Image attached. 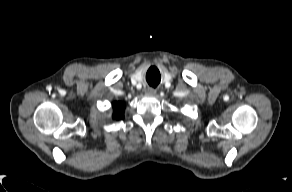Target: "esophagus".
I'll return each mask as SVG.
<instances>
[{
    "mask_svg": "<svg viewBox=\"0 0 292 192\" xmlns=\"http://www.w3.org/2000/svg\"><path fill=\"white\" fill-rule=\"evenodd\" d=\"M156 89H154V88H148L146 91H145V93L147 94V95H155L156 94Z\"/></svg>",
    "mask_w": 292,
    "mask_h": 192,
    "instance_id": "obj_1",
    "label": "esophagus"
}]
</instances>
